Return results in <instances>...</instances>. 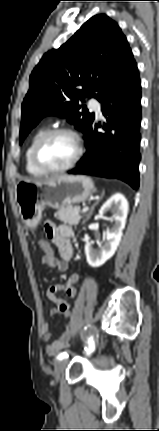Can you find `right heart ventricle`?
Returning a JSON list of instances; mask_svg holds the SVG:
<instances>
[{"mask_svg":"<svg viewBox=\"0 0 159 431\" xmlns=\"http://www.w3.org/2000/svg\"><path fill=\"white\" fill-rule=\"evenodd\" d=\"M46 131L45 127H40L38 128L33 135L31 136L28 145L26 147L25 150V168L26 171L34 176V177H41L43 175H45L46 173L43 172L42 170H40L33 162L32 159V150H33V146L35 144V142L37 141V139Z\"/></svg>","mask_w":159,"mask_h":431,"instance_id":"obj_1","label":"right heart ventricle"}]
</instances>
